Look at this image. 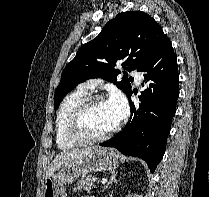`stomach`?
Wrapping results in <instances>:
<instances>
[{"label":"stomach","instance_id":"0dacf381","mask_svg":"<svg viewBox=\"0 0 209 197\" xmlns=\"http://www.w3.org/2000/svg\"><path fill=\"white\" fill-rule=\"evenodd\" d=\"M118 157L113 149L94 147L86 156L71 161L46 178L43 197H66V183L90 172L114 170L118 167Z\"/></svg>","mask_w":209,"mask_h":197}]
</instances>
